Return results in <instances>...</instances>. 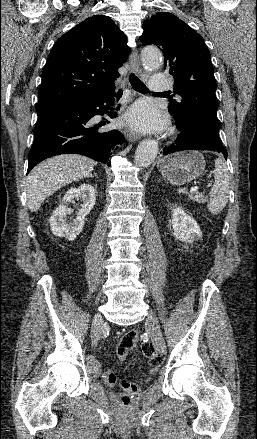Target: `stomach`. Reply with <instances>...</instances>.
<instances>
[{"label": "stomach", "instance_id": "1", "mask_svg": "<svg viewBox=\"0 0 257 439\" xmlns=\"http://www.w3.org/2000/svg\"><path fill=\"white\" fill-rule=\"evenodd\" d=\"M205 168L203 155L198 151H179L162 158L158 169L174 185H184L199 177Z\"/></svg>", "mask_w": 257, "mask_h": 439}]
</instances>
